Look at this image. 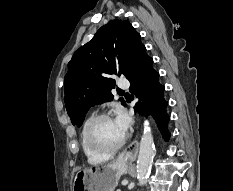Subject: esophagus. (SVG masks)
<instances>
[{"label": "esophagus", "instance_id": "esophagus-1", "mask_svg": "<svg viewBox=\"0 0 233 191\" xmlns=\"http://www.w3.org/2000/svg\"><path fill=\"white\" fill-rule=\"evenodd\" d=\"M138 151V142L133 141L128 148H126L118 157V161L127 162L128 160H133L136 158Z\"/></svg>", "mask_w": 233, "mask_h": 191}]
</instances>
